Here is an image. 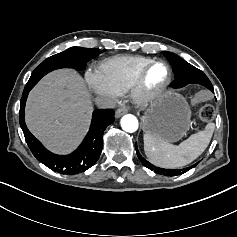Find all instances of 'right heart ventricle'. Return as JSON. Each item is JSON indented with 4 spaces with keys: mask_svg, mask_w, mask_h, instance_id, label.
Here are the masks:
<instances>
[{
    "mask_svg": "<svg viewBox=\"0 0 237 237\" xmlns=\"http://www.w3.org/2000/svg\"><path fill=\"white\" fill-rule=\"evenodd\" d=\"M150 61L143 56H115L103 61L100 69L123 94L132 88L139 73Z\"/></svg>",
    "mask_w": 237,
    "mask_h": 237,
    "instance_id": "right-heart-ventricle-1",
    "label": "right heart ventricle"
}]
</instances>
